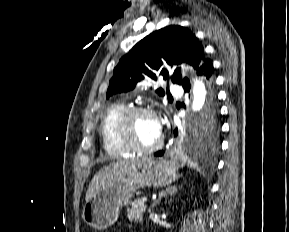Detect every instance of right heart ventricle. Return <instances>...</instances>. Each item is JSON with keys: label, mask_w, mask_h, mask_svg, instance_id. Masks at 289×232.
Returning a JSON list of instances; mask_svg holds the SVG:
<instances>
[{"label": "right heart ventricle", "mask_w": 289, "mask_h": 232, "mask_svg": "<svg viewBox=\"0 0 289 232\" xmlns=\"http://www.w3.org/2000/svg\"><path fill=\"white\" fill-rule=\"evenodd\" d=\"M125 109V104L113 103L105 110L101 119L100 133L103 147L106 153L113 157H127L132 154L117 136V122Z\"/></svg>", "instance_id": "right-heart-ventricle-1"}]
</instances>
